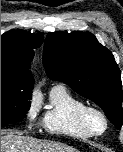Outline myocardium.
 Wrapping results in <instances>:
<instances>
[{"label":"myocardium","instance_id":"f54148a6","mask_svg":"<svg viewBox=\"0 0 123 152\" xmlns=\"http://www.w3.org/2000/svg\"><path fill=\"white\" fill-rule=\"evenodd\" d=\"M93 114L98 115L103 120L104 127L101 131H95L90 124V117ZM78 120L82 128L86 130L91 136L103 135L109 126V121L106 114L99 108L93 106H85L82 108L79 112Z\"/></svg>","mask_w":123,"mask_h":152}]
</instances>
